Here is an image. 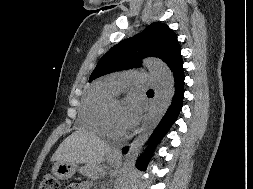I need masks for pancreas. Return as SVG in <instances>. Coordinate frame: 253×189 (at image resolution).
I'll list each match as a JSON object with an SVG mask.
<instances>
[{
    "label": "pancreas",
    "instance_id": "1",
    "mask_svg": "<svg viewBox=\"0 0 253 189\" xmlns=\"http://www.w3.org/2000/svg\"><path fill=\"white\" fill-rule=\"evenodd\" d=\"M81 173L88 178L97 179L99 176L102 175L99 167L86 165L81 169Z\"/></svg>",
    "mask_w": 253,
    "mask_h": 189
}]
</instances>
